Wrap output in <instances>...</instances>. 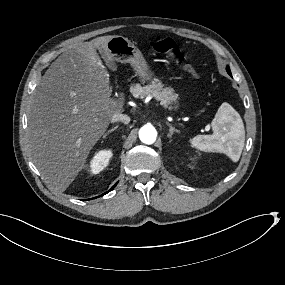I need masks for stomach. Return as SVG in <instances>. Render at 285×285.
Masks as SVG:
<instances>
[{
	"label": "stomach",
	"mask_w": 285,
	"mask_h": 285,
	"mask_svg": "<svg viewBox=\"0 0 285 285\" xmlns=\"http://www.w3.org/2000/svg\"><path fill=\"white\" fill-rule=\"evenodd\" d=\"M107 47L113 59L122 63H129L132 66L135 75L139 77L142 83H146L147 85L157 83L158 79L142 52L128 38L118 35L113 36L109 40ZM163 90L168 91L169 89L166 88L161 91ZM166 98L167 103L175 100L172 92Z\"/></svg>",
	"instance_id": "1"
}]
</instances>
